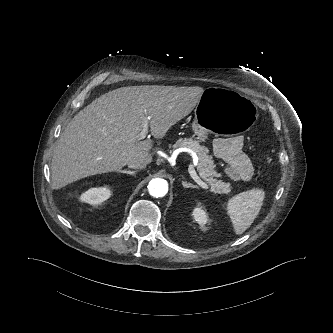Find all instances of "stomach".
<instances>
[{"label": "stomach", "instance_id": "obj_1", "mask_svg": "<svg viewBox=\"0 0 333 333\" xmlns=\"http://www.w3.org/2000/svg\"><path fill=\"white\" fill-rule=\"evenodd\" d=\"M256 117V106L246 96L225 89H208L195 108L193 137L205 142L211 134L242 133Z\"/></svg>", "mask_w": 333, "mask_h": 333}]
</instances>
